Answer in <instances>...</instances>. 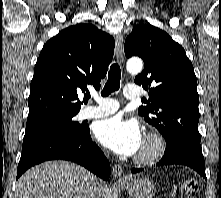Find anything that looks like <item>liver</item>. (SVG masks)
<instances>
[{
    "instance_id": "obj_1",
    "label": "liver",
    "mask_w": 221,
    "mask_h": 198,
    "mask_svg": "<svg viewBox=\"0 0 221 198\" xmlns=\"http://www.w3.org/2000/svg\"><path fill=\"white\" fill-rule=\"evenodd\" d=\"M91 176L88 170L74 163L48 161L19 178L16 198H88L87 184ZM100 195L101 188L98 198Z\"/></svg>"
}]
</instances>
